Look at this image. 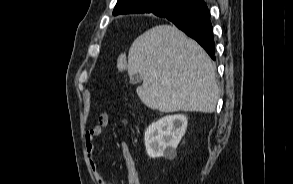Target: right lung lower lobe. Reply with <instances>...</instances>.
I'll return each mask as SVG.
<instances>
[{
    "mask_svg": "<svg viewBox=\"0 0 293 184\" xmlns=\"http://www.w3.org/2000/svg\"><path fill=\"white\" fill-rule=\"evenodd\" d=\"M173 22L188 36L195 39L215 60V43L213 27L210 22V12L206 5L189 4L163 16Z\"/></svg>",
    "mask_w": 293,
    "mask_h": 184,
    "instance_id": "right-lung-lower-lobe-1",
    "label": "right lung lower lobe"
}]
</instances>
